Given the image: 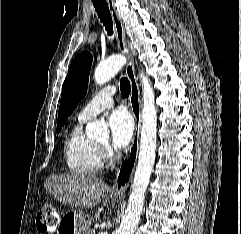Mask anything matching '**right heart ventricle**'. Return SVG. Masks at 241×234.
Masks as SVG:
<instances>
[{
    "label": "right heart ventricle",
    "mask_w": 241,
    "mask_h": 234,
    "mask_svg": "<svg viewBox=\"0 0 241 234\" xmlns=\"http://www.w3.org/2000/svg\"><path fill=\"white\" fill-rule=\"evenodd\" d=\"M83 123V121L78 120L67 135L64 145V158L72 173L89 176L99 172L103 162L98 144L85 136Z\"/></svg>",
    "instance_id": "obj_1"
}]
</instances>
